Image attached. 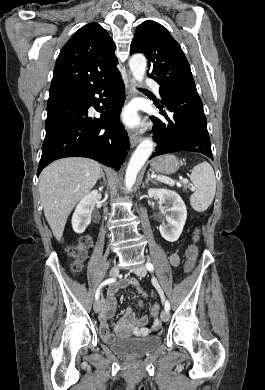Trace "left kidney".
<instances>
[{"mask_svg": "<svg viewBox=\"0 0 265 390\" xmlns=\"http://www.w3.org/2000/svg\"><path fill=\"white\" fill-rule=\"evenodd\" d=\"M148 195L159 199L158 209L165 215L166 223L159 227L162 237L169 242L177 241L187 218L185 203L176 192L167 189L150 188Z\"/></svg>", "mask_w": 265, "mask_h": 390, "instance_id": "left-kidney-1", "label": "left kidney"}]
</instances>
